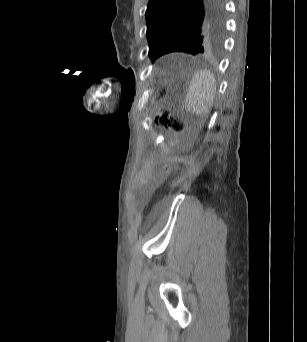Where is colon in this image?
Instances as JSON below:
<instances>
[{"instance_id": "obj_1", "label": "colon", "mask_w": 307, "mask_h": 342, "mask_svg": "<svg viewBox=\"0 0 307 342\" xmlns=\"http://www.w3.org/2000/svg\"><path fill=\"white\" fill-rule=\"evenodd\" d=\"M155 94H158V100L163 101L165 94L171 93L170 87H155L153 89ZM154 123L158 128L169 130L172 134L179 135L185 131V123L177 116L169 113L167 110L162 109L154 117Z\"/></svg>"}]
</instances>
